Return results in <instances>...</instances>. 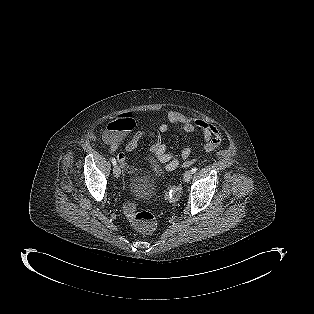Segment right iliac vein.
Here are the masks:
<instances>
[{"label":"right iliac vein","instance_id":"1","mask_svg":"<svg viewBox=\"0 0 314 314\" xmlns=\"http://www.w3.org/2000/svg\"><path fill=\"white\" fill-rule=\"evenodd\" d=\"M120 174H121L120 167L118 165H115L114 168H113V175H114V177L119 178Z\"/></svg>","mask_w":314,"mask_h":314}]
</instances>
